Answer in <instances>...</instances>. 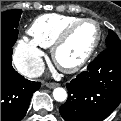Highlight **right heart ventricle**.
I'll use <instances>...</instances> for the list:
<instances>
[{
  "label": "right heart ventricle",
  "mask_w": 121,
  "mask_h": 121,
  "mask_svg": "<svg viewBox=\"0 0 121 121\" xmlns=\"http://www.w3.org/2000/svg\"><path fill=\"white\" fill-rule=\"evenodd\" d=\"M76 16L45 14L36 18L29 27L32 41L39 46L51 47L60 33L69 25L79 20Z\"/></svg>",
  "instance_id": "1"
}]
</instances>
